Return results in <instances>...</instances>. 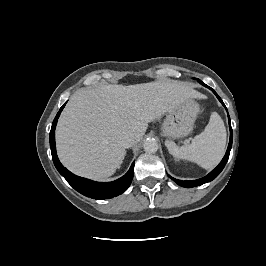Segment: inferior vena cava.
<instances>
[{
  "label": "inferior vena cava",
  "mask_w": 266,
  "mask_h": 266,
  "mask_svg": "<svg viewBox=\"0 0 266 266\" xmlns=\"http://www.w3.org/2000/svg\"><path fill=\"white\" fill-rule=\"evenodd\" d=\"M135 143V137L132 134H126L122 137V144L125 148L131 147Z\"/></svg>",
  "instance_id": "obj_1"
}]
</instances>
